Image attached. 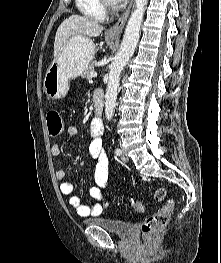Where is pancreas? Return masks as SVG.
<instances>
[{
    "mask_svg": "<svg viewBox=\"0 0 221 263\" xmlns=\"http://www.w3.org/2000/svg\"><path fill=\"white\" fill-rule=\"evenodd\" d=\"M97 65V62L96 61H93L89 67L82 73L81 77L84 78V79H91L92 76L91 74L95 72V67Z\"/></svg>",
    "mask_w": 221,
    "mask_h": 263,
    "instance_id": "cf45deb5",
    "label": "pancreas"
}]
</instances>
